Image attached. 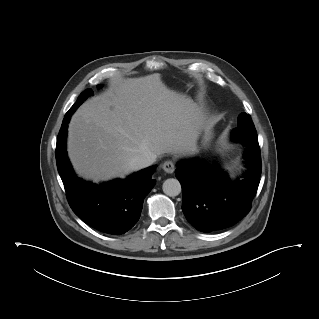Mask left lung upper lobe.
<instances>
[{"mask_svg": "<svg viewBox=\"0 0 319 319\" xmlns=\"http://www.w3.org/2000/svg\"><path fill=\"white\" fill-rule=\"evenodd\" d=\"M238 127L248 130H255L251 117L246 113H241L238 116Z\"/></svg>", "mask_w": 319, "mask_h": 319, "instance_id": "1", "label": "left lung upper lobe"}]
</instances>
